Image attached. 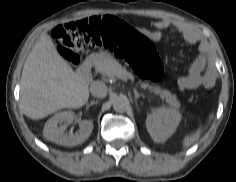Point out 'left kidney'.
<instances>
[{
    "label": "left kidney",
    "instance_id": "5707ae66",
    "mask_svg": "<svg viewBox=\"0 0 236 182\" xmlns=\"http://www.w3.org/2000/svg\"><path fill=\"white\" fill-rule=\"evenodd\" d=\"M181 121V113L177 109L158 107L146 118L147 130L154 142H165L176 130Z\"/></svg>",
    "mask_w": 236,
    "mask_h": 182
}]
</instances>
